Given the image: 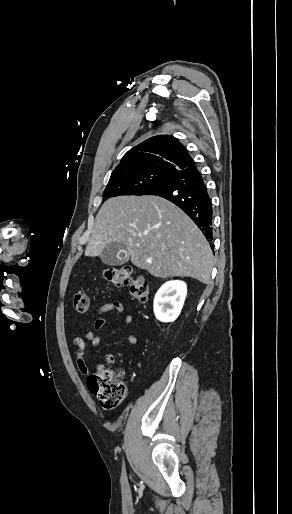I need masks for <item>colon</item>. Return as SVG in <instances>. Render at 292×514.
<instances>
[{
    "mask_svg": "<svg viewBox=\"0 0 292 514\" xmlns=\"http://www.w3.org/2000/svg\"><path fill=\"white\" fill-rule=\"evenodd\" d=\"M133 270L127 266L111 267L103 274V278L115 287L130 285V296L138 301L148 300V284L143 278L132 277ZM74 306L79 314H87L90 311L88 295L79 290L75 294ZM117 357L109 354L107 362L113 364ZM89 390L95 395L103 408H113L121 404L127 396L126 386L119 374L109 368H103L97 373H92L87 378Z\"/></svg>",
    "mask_w": 292,
    "mask_h": 514,
    "instance_id": "5ec220e1",
    "label": "colon"
}]
</instances>
